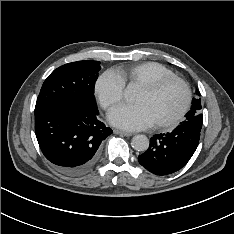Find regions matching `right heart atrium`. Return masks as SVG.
I'll list each match as a JSON object with an SVG mask.
<instances>
[{"label":"right heart atrium","instance_id":"right-heart-atrium-1","mask_svg":"<svg viewBox=\"0 0 234 234\" xmlns=\"http://www.w3.org/2000/svg\"><path fill=\"white\" fill-rule=\"evenodd\" d=\"M94 92L101 106L110 109L121 102L124 83L113 71L107 70L97 78Z\"/></svg>","mask_w":234,"mask_h":234}]
</instances>
